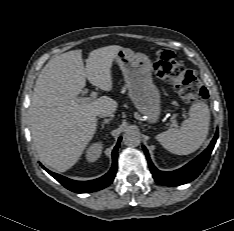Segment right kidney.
<instances>
[{
  "label": "right kidney",
  "mask_w": 234,
  "mask_h": 231,
  "mask_svg": "<svg viewBox=\"0 0 234 231\" xmlns=\"http://www.w3.org/2000/svg\"><path fill=\"white\" fill-rule=\"evenodd\" d=\"M103 149L102 142H96L89 146L86 151V159L89 162H95L100 158Z\"/></svg>",
  "instance_id": "right-kidney-1"
}]
</instances>
